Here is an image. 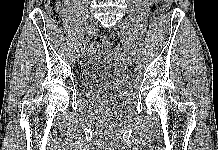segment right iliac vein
I'll list each match as a JSON object with an SVG mask.
<instances>
[{"label":"right iliac vein","mask_w":218,"mask_h":150,"mask_svg":"<svg viewBox=\"0 0 218 150\" xmlns=\"http://www.w3.org/2000/svg\"><path fill=\"white\" fill-rule=\"evenodd\" d=\"M96 27H97V21L95 19H91L86 27V31L87 33L89 31H91L93 34L95 33V30H96ZM92 34V35H93ZM87 41V38L86 37H83L82 38V42H81V45L82 46H85L86 45V42Z\"/></svg>","instance_id":"right-iliac-vein-1"}]
</instances>
